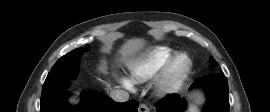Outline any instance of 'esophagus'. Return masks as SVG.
Returning a JSON list of instances; mask_svg holds the SVG:
<instances>
[{
  "mask_svg": "<svg viewBox=\"0 0 270 112\" xmlns=\"http://www.w3.org/2000/svg\"><path fill=\"white\" fill-rule=\"evenodd\" d=\"M138 112H150L149 108L145 104H140Z\"/></svg>",
  "mask_w": 270,
  "mask_h": 112,
  "instance_id": "1",
  "label": "esophagus"
}]
</instances>
